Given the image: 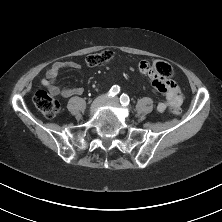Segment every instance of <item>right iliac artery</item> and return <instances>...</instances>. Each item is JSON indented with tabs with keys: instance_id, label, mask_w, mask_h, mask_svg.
I'll list each match as a JSON object with an SVG mask.
<instances>
[{
	"instance_id": "1",
	"label": "right iliac artery",
	"mask_w": 222,
	"mask_h": 222,
	"mask_svg": "<svg viewBox=\"0 0 222 222\" xmlns=\"http://www.w3.org/2000/svg\"><path fill=\"white\" fill-rule=\"evenodd\" d=\"M120 91V87L118 85H114L110 91H109V95L108 96H112L114 97L115 95H117Z\"/></svg>"
}]
</instances>
